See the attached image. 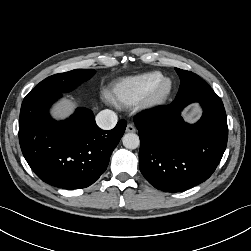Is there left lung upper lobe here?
Instances as JSON below:
<instances>
[{
  "mask_svg": "<svg viewBox=\"0 0 251 251\" xmlns=\"http://www.w3.org/2000/svg\"><path fill=\"white\" fill-rule=\"evenodd\" d=\"M177 74L180 77V88L178 92L184 90L193 89L194 86L198 87L201 84H205L206 82L200 78L198 75L194 74L193 72L182 70L179 68H175Z\"/></svg>",
  "mask_w": 251,
  "mask_h": 251,
  "instance_id": "obj_1",
  "label": "left lung upper lobe"
}]
</instances>
